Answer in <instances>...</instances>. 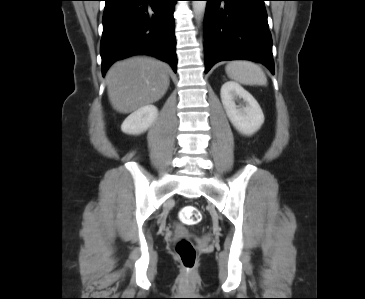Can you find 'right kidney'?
I'll list each match as a JSON object with an SVG mask.
<instances>
[{
    "label": "right kidney",
    "instance_id": "ca27d5eb",
    "mask_svg": "<svg viewBox=\"0 0 365 299\" xmlns=\"http://www.w3.org/2000/svg\"><path fill=\"white\" fill-rule=\"evenodd\" d=\"M157 116L158 109L156 106H143L124 120L121 130L126 134H141L155 122Z\"/></svg>",
    "mask_w": 365,
    "mask_h": 299
}]
</instances>
